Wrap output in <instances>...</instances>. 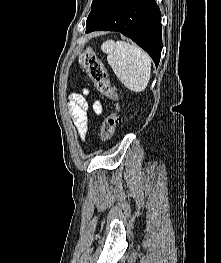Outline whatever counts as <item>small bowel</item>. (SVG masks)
<instances>
[{
	"label": "small bowel",
	"instance_id": "c3829d8e",
	"mask_svg": "<svg viewBox=\"0 0 221 263\" xmlns=\"http://www.w3.org/2000/svg\"><path fill=\"white\" fill-rule=\"evenodd\" d=\"M87 90H84L82 94L73 93L70 96V114L74 120L78 134L81 139H84L88 131V117L87 110L88 104L86 101ZM92 110L96 115H100L102 112V105L100 102H95L92 105Z\"/></svg>",
	"mask_w": 221,
	"mask_h": 263
}]
</instances>
